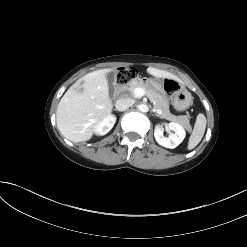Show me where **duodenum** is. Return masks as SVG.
Instances as JSON below:
<instances>
[{
  "mask_svg": "<svg viewBox=\"0 0 247 247\" xmlns=\"http://www.w3.org/2000/svg\"><path fill=\"white\" fill-rule=\"evenodd\" d=\"M134 77V76H133ZM133 82H141V79H138V78H135V79H131L129 82H128V85H125V88H128V86H131V84Z\"/></svg>",
  "mask_w": 247,
  "mask_h": 247,
  "instance_id": "1",
  "label": "duodenum"
}]
</instances>
